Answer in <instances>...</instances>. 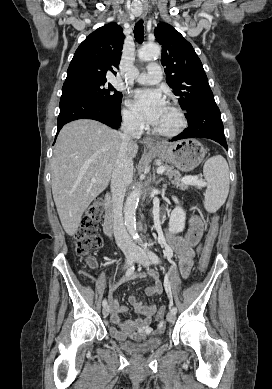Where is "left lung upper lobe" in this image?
Masks as SVG:
<instances>
[{
    "instance_id": "obj_1",
    "label": "left lung upper lobe",
    "mask_w": 272,
    "mask_h": 389,
    "mask_svg": "<svg viewBox=\"0 0 272 389\" xmlns=\"http://www.w3.org/2000/svg\"><path fill=\"white\" fill-rule=\"evenodd\" d=\"M154 34L162 45L161 64L165 67L167 84L179 97V104L187 114L203 102L214 99L192 45L167 23H159Z\"/></svg>"
}]
</instances>
